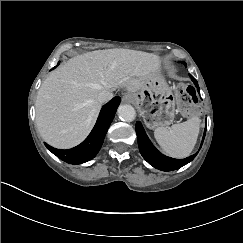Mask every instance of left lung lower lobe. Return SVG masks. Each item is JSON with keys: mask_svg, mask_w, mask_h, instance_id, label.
<instances>
[{"mask_svg": "<svg viewBox=\"0 0 243 243\" xmlns=\"http://www.w3.org/2000/svg\"><path fill=\"white\" fill-rule=\"evenodd\" d=\"M189 76L191 77V80L193 81L197 90L200 92L197 80L191 74H189ZM136 134H137L139 150H140V153L143 156V158L154 168L162 170V171H173V170L179 169L182 166L189 163L190 161H192L198 154V152H197L194 155H191L190 157H187L185 159H173V158L162 155L152 145V143L150 142L149 138L147 137L140 122L136 123ZM205 134H206V128L204 131L202 143L205 138ZM202 143H201V146H202Z\"/></svg>", "mask_w": 243, "mask_h": 243, "instance_id": "obj_1", "label": "left lung lower lobe"}]
</instances>
